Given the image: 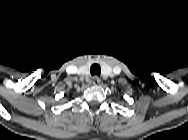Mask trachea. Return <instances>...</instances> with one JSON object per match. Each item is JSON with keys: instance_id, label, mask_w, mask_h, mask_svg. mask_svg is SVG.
I'll return each instance as SVG.
<instances>
[{"instance_id": "trachea-1", "label": "trachea", "mask_w": 188, "mask_h": 140, "mask_svg": "<svg viewBox=\"0 0 188 140\" xmlns=\"http://www.w3.org/2000/svg\"><path fill=\"white\" fill-rule=\"evenodd\" d=\"M90 73L91 75H97V76H100V73H101V68L98 64H93L91 67H90Z\"/></svg>"}]
</instances>
